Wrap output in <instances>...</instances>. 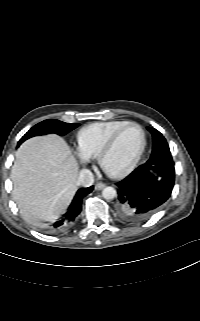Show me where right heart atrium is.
<instances>
[{
    "label": "right heart atrium",
    "mask_w": 200,
    "mask_h": 321,
    "mask_svg": "<svg viewBox=\"0 0 200 321\" xmlns=\"http://www.w3.org/2000/svg\"><path fill=\"white\" fill-rule=\"evenodd\" d=\"M77 158L82 164H86L90 161V158L85 156L80 150L76 151Z\"/></svg>",
    "instance_id": "1"
}]
</instances>
